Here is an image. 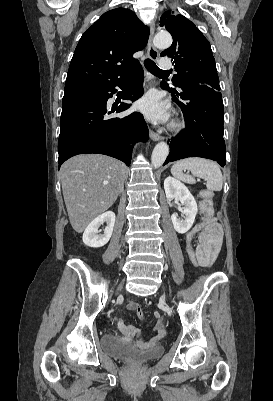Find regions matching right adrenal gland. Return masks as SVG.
I'll return each mask as SVG.
<instances>
[{"label": "right adrenal gland", "mask_w": 273, "mask_h": 401, "mask_svg": "<svg viewBox=\"0 0 273 401\" xmlns=\"http://www.w3.org/2000/svg\"><path fill=\"white\" fill-rule=\"evenodd\" d=\"M125 180H126V174H125L124 182H125Z\"/></svg>", "instance_id": "2a0ac1e0"}]
</instances>
